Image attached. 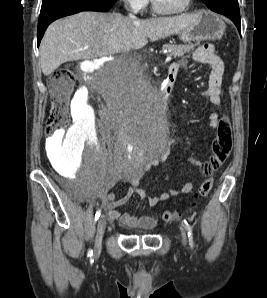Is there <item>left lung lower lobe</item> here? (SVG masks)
<instances>
[{
    "instance_id": "obj_1",
    "label": "left lung lower lobe",
    "mask_w": 267,
    "mask_h": 298,
    "mask_svg": "<svg viewBox=\"0 0 267 298\" xmlns=\"http://www.w3.org/2000/svg\"><path fill=\"white\" fill-rule=\"evenodd\" d=\"M215 12L228 16L234 22V24L238 28L239 32H241V21H240L239 6H233L232 5L227 9H224V10L218 9Z\"/></svg>"
}]
</instances>
